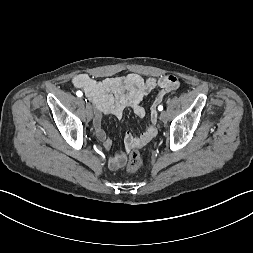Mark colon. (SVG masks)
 I'll list each match as a JSON object with an SVG mask.
<instances>
[{
    "mask_svg": "<svg viewBox=\"0 0 253 253\" xmlns=\"http://www.w3.org/2000/svg\"><path fill=\"white\" fill-rule=\"evenodd\" d=\"M142 156L138 150L131 152L128 162H127V171L136 172L142 165Z\"/></svg>",
    "mask_w": 253,
    "mask_h": 253,
    "instance_id": "colon-1",
    "label": "colon"
}]
</instances>
